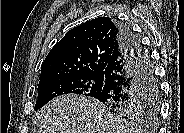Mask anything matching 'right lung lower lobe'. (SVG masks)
<instances>
[{
	"label": "right lung lower lobe",
	"instance_id": "98d812e1",
	"mask_svg": "<svg viewBox=\"0 0 184 133\" xmlns=\"http://www.w3.org/2000/svg\"><path fill=\"white\" fill-rule=\"evenodd\" d=\"M119 46L104 70V82L94 98L107 106L134 104L146 99L154 75L149 55L132 31L121 24Z\"/></svg>",
	"mask_w": 184,
	"mask_h": 133
}]
</instances>
